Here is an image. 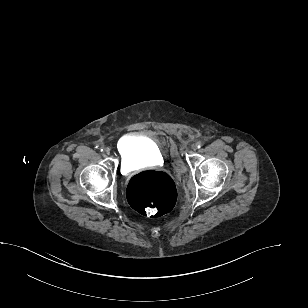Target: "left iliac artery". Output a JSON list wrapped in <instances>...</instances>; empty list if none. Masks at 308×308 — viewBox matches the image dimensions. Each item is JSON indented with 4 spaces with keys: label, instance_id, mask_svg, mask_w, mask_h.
Segmentation results:
<instances>
[{
    "label": "left iliac artery",
    "instance_id": "left-iliac-artery-1",
    "mask_svg": "<svg viewBox=\"0 0 308 308\" xmlns=\"http://www.w3.org/2000/svg\"><path fill=\"white\" fill-rule=\"evenodd\" d=\"M196 145H197V147H198V148H200V147H202V146H203V143L199 141V142H197V144H196Z\"/></svg>",
    "mask_w": 308,
    "mask_h": 308
}]
</instances>
